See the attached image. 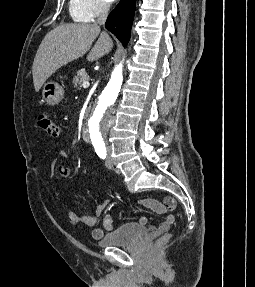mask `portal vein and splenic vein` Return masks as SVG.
Here are the masks:
<instances>
[{"label":"portal vein and splenic vein","instance_id":"1","mask_svg":"<svg viewBox=\"0 0 255 287\" xmlns=\"http://www.w3.org/2000/svg\"><path fill=\"white\" fill-rule=\"evenodd\" d=\"M82 86L83 88H89L90 84L89 82H83Z\"/></svg>","mask_w":255,"mask_h":287}]
</instances>
